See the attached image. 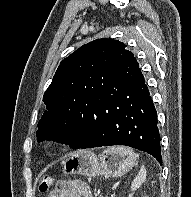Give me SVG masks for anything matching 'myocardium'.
I'll use <instances>...</instances> for the list:
<instances>
[{
	"mask_svg": "<svg viewBox=\"0 0 191 197\" xmlns=\"http://www.w3.org/2000/svg\"><path fill=\"white\" fill-rule=\"evenodd\" d=\"M59 146H60V144H59L58 142H56V141H51V142H49V143L47 144L46 150H47V152H48L49 154H53V153H55V152L58 150Z\"/></svg>",
	"mask_w": 191,
	"mask_h": 197,
	"instance_id": "1",
	"label": "myocardium"
}]
</instances>
